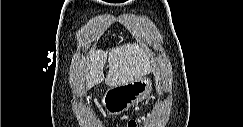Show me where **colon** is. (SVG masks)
Instances as JSON below:
<instances>
[{
  "mask_svg": "<svg viewBox=\"0 0 243 127\" xmlns=\"http://www.w3.org/2000/svg\"><path fill=\"white\" fill-rule=\"evenodd\" d=\"M144 116L140 117V118H133V119H130L127 123V126L128 127H136L139 122L141 121V119H143Z\"/></svg>",
  "mask_w": 243,
  "mask_h": 127,
  "instance_id": "5ec220e1",
  "label": "colon"
}]
</instances>
